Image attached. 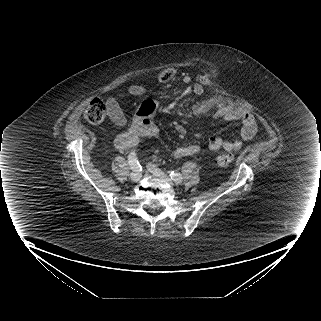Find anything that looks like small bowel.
<instances>
[{
  "label": "small bowel",
  "mask_w": 321,
  "mask_h": 321,
  "mask_svg": "<svg viewBox=\"0 0 321 321\" xmlns=\"http://www.w3.org/2000/svg\"><path fill=\"white\" fill-rule=\"evenodd\" d=\"M184 82H189L188 76L183 78ZM195 94L203 92V86L196 83L193 86ZM130 94L139 96L143 93V88L138 85L131 86ZM218 106V101L214 97H208L203 101L192 106L194 115H203ZM107 107L110 119L120 127L125 129L116 137L115 145L120 150H130L135 148L139 143V138L142 136L156 137L158 128L152 121V117L157 109L156 104L152 100L145 101L141 104L138 117L132 121H128L121 109L118 98L116 96L107 99ZM216 119L229 122H237L241 124V130L238 138L225 139L220 136L210 137L208 140V148L211 151H217L221 148L228 151H237L242 148L244 142L251 140L257 133L258 126L253 114L247 110H242L234 107H217L214 112ZM176 130L183 134L185 128L178 124ZM199 151L197 145H184L174 149L171 155L174 158H183L196 154Z\"/></svg>",
  "instance_id": "small-bowel-1"
}]
</instances>
